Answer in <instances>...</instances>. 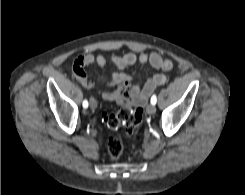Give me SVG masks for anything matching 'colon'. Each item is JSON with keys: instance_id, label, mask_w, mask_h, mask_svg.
I'll list each match as a JSON object with an SVG mask.
<instances>
[{"instance_id": "1", "label": "colon", "mask_w": 245, "mask_h": 195, "mask_svg": "<svg viewBox=\"0 0 245 195\" xmlns=\"http://www.w3.org/2000/svg\"><path fill=\"white\" fill-rule=\"evenodd\" d=\"M143 115L141 107H123L117 112L104 116V124L111 131L124 130L127 134H132L140 125ZM109 158L118 161L123 154L124 146L122 141L115 135L108 138L107 143Z\"/></svg>"}]
</instances>
